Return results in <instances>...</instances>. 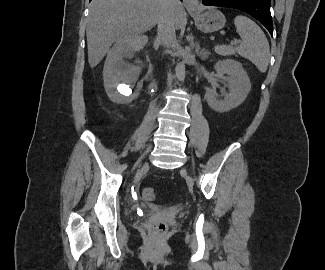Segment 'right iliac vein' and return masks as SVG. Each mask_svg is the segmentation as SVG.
Here are the masks:
<instances>
[{
    "label": "right iliac vein",
    "instance_id": "right-iliac-vein-1",
    "mask_svg": "<svg viewBox=\"0 0 325 270\" xmlns=\"http://www.w3.org/2000/svg\"><path fill=\"white\" fill-rule=\"evenodd\" d=\"M150 149H151V148H150V147H148V148L146 149V151H145L144 155H145V154H147V153L150 151Z\"/></svg>",
    "mask_w": 325,
    "mask_h": 270
}]
</instances>
